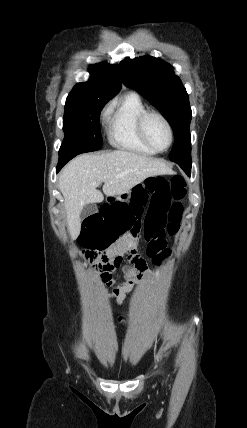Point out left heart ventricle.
Instances as JSON below:
<instances>
[{
    "mask_svg": "<svg viewBox=\"0 0 247 428\" xmlns=\"http://www.w3.org/2000/svg\"><path fill=\"white\" fill-rule=\"evenodd\" d=\"M147 135L152 144L158 149H164L169 143V132L165 124L155 116L148 119L146 124Z\"/></svg>",
    "mask_w": 247,
    "mask_h": 428,
    "instance_id": "b2bd125f",
    "label": "left heart ventricle"
}]
</instances>
